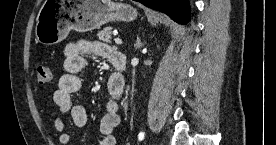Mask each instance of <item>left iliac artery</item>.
<instances>
[{"mask_svg": "<svg viewBox=\"0 0 276 145\" xmlns=\"http://www.w3.org/2000/svg\"><path fill=\"white\" fill-rule=\"evenodd\" d=\"M144 137H145V133L144 132H140L139 135H138V139L140 141H142L144 139Z\"/></svg>", "mask_w": 276, "mask_h": 145, "instance_id": "left-iliac-artery-1", "label": "left iliac artery"}]
</instances>
